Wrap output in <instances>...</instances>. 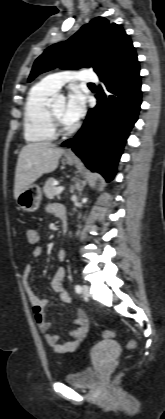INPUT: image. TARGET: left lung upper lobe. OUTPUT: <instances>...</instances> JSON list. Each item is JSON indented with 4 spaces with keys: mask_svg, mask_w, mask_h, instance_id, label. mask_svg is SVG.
<instances>
[{
    "mask_svg": "<svg viewBox=\"0 0 165 419\" xmlns=\"http://www.w3.org/2000/svg\"><path fill=\"white\" fill-rule=\"evenodd\" d=\"M133 47L124 29L103 17H97L82 26L67 41L54 44L39 56L28 81L54 68H94L99 75L118 63ZM91 58L94 64L88 62Z\"/></svg>",
    "mask_w": 165,
    "mask_h": 419,
    "instance_id": "obj_1",
    "label": "left lung upper lobe"
}]
</instances>
